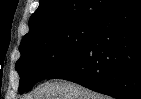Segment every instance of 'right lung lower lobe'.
<instances>
[{
    "instance_id": "98d812e1",
    "label": "right lung lower lobe",
    "mask_w": 141,
    "mask_h": 99,
    "mask_svg": "<svg viewBox=\"0 0 141 99\" xmlns=\"http://www.w3.org/2000/svg\"><path fill=\"white\" fill-rule=\"evenodd\" d=\"M49 78L116 99H141V0H130L101 19L88 44Z\"/></svg>"
}]
</instances>
